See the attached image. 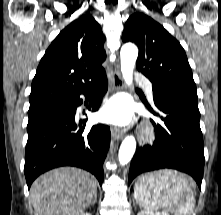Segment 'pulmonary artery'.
<instances>
[{
    "label": "pulmonary artery",
    "instance_id": "e3ab8cb5",
    "mask_svg": "<svg viewBox=\"0 0 221 215\" xmlns=\"http://www.w3.org/2000/svg\"><path fill=\"white\" fill-rule=\"evenodd\" d=\"M135 80H136V82L142 84L145 87L149 98L152 99L153 98V89H152L151 82L147 78H145L141 75H136Z\"/></svg>",
    "mask_w": 221,
    "mask_h": 215
}]
</instances>
